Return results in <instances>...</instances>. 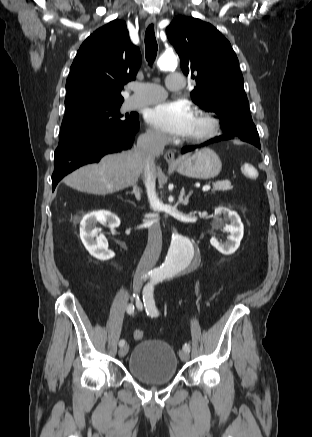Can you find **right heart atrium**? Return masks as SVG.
<instances>
[{"label":"right heart atrium","mask_w":312,"mask_h":437,"mask_svg":"<svg viewBox=\"0 0 312 437\" xmlns=\"http://www.w3.org/2000/svg\"><path fill=\"white\" fill-rule=\"evenodd\" d=\"M146 136L155 142H163L165 140L164 136L155 129H148Z\"/></svg>","instance_id":"d8ad5b80"}]
</instances>
